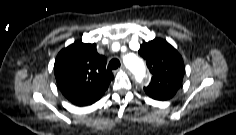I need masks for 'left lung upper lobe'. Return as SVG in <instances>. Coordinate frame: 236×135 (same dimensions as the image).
<instances>
[{
	"instance_id": "left-lung-upper-lobe-1",
	"label": "left lung upper lobe",
	"mask_w": 236,
	"mask_h": 135,
	"mask_svg": "<svg viewBox=\"0 0 236 135\" xmlns=\"http://www.w3.org/2000/svg\"><path fill=\"white\" fill-rule=\"evenodd\" d=\"M138 52L146 60L153 75L149 86L144 87L146 94H175L185 73L183 59L178 51L166 40L156 38L144 42Z\"/></svg>"
}]
</instances>
